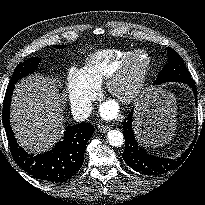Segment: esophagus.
I'll use <instances>...</instances> for the list:
<instances>
[{
  "label": "esophagus",
  "instance_id": "1",
  "mask_svg": "<svg viewBox=\"0 0 205 205\" xmlns=\"http://www.w3.org/2000/svg\"><path fill=\"white\" fill-rule=\"evenodd\" d=\"M109 129H110V127L106 126V125H99L98 126V130L102 133H106Z\"/></svg>",
  "mask_w": 205,
  "mask_h": 205
}]
</instances>
